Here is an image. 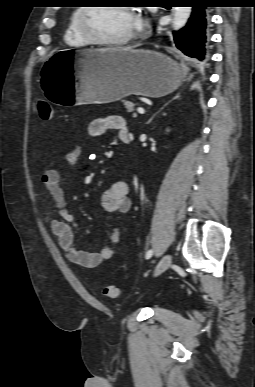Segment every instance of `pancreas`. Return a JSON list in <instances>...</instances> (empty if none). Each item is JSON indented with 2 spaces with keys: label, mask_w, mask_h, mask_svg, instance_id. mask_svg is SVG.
<instances>
[{
  "label": "pancreas",
  "mask_w": 255,
  "mask_h": 387,
  "mask_svg": "<svg viewBox=\"0 0 255 387\" xmlns=\"http://www.w3.org/2000/svg\"><path fill=\"white\" fill-rule=\"evenodd\" d=\"M122 102L125 105L128 112H132L134 110L135 104L133 102L126 101V100H123ZM134 116H135V114H134Z\"/></svg>",
  "instance_id": "pancreas-1"
}]
</instances>
